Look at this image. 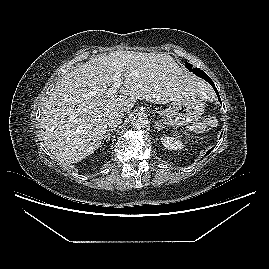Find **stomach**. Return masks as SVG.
I'll list each match as a JSON object with an SVG mask.
<instances>
[{
	"mask_svg": "<svg viewBox=\"0 0 269 269\" xmlns=\"http://www.w3.org/2000/svg\"><path fill=\"white\" fill-rule=\"evenodd\" d=\"M205 100L198 95L180 97L160 113L161 122L171 127H182L197 121L203 114Z\"/></svg>",
	"mask_w": 269,
	"mask_h": 269,
	"instance_id": "1",
	"label": "stomach"
}]
</instances>
